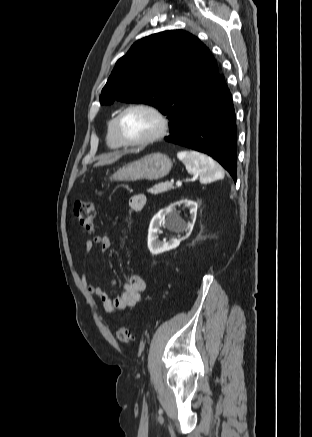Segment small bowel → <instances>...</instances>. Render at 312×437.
I'll return each mask as SVG.
<instances>
[{
    "instance_id": "small-bowel-1",
    "label": "small bowel",
    "mask_w": 312,
    "mask_h": 437,
    "mask_svg": "<svg viewBox=\"0 0 312 437\" xmlns=\"http://www.w3.org/2000/svg\"><path fill=\"white\" fill-rule=\"evenodd\" d=\"M146 204V197L143 194L133 195L129 200V209L131 212L141 211ZM114 245L109 236H96L85 244L86 254L89 255L94 246H99L101 251H107ZM82 282L88 293L96 296L106 313L114 314L118 311L135 307L141 300V295L146 289V284L141 276L133 275L125 283L119 296L112 298L109 293L100 286L95 285L86 273L82 276ZM114 284L115 281L113 280Z\"/></svg>"
}]
</instances>
